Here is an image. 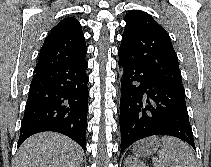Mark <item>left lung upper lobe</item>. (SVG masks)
<instances>
[{
	"label": "left lung upper lobe",
	"instance_id": "1",
	"mask_svg": "<svg viewBox=\"0 0 211 167\" xmlns=\"http://www.w3.org/2000/svg\"><path fill=\"white\" fill-rule=\"evenodd\" d=\"M125 22L122 53L169 86L185 92L178 57L166 30L139 10L128 12Z\"/></svg>",
	"mask_w": 211,
	"mask_h": 167
}]
</instances>
